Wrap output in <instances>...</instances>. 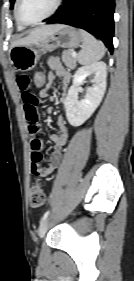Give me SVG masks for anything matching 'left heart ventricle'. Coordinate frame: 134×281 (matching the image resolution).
Here are the masks:
<instances>
[{"instance_id":"b2bd125f","label":"left heart ventricle","mask_w":134,"mask_h":281,"mask_svg":"<svg viewBox=\"0 0 134 281\" xmlns=\"http://www.w3.org/2000/svg\"><path fill=\"white\" fill-rule=\"evenodd\" d=\"M56 0H21L19 12L24 21L34 22L48 14Z\"/></svg>"}]
</instances>
